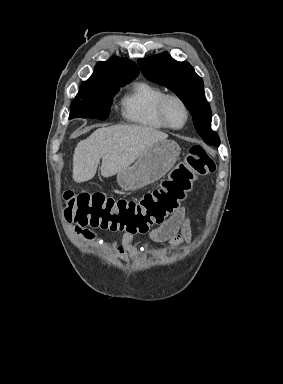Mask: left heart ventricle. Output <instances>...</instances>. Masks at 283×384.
Wrapping results in <instances>:
<instances>
[{
  "label": "left heart ventricle",
  "instance_id": "left-heart-ventricle-1",
  "mask_svg": "<svg viewBox=\"0 0 283 384\" xmlns=\"http://www.w3.org/2000/svg\"><path fill=\"white\" fill-rule=\"evenodd\" d=\"M166 115L168 118V121L171 125L179 127L184 123L185 120V114L181 107V105L175 101L171 100L166 109Z\"/></svg>",
  "mask_w": 283,
  "mask_h": 384
}]
</instances>
